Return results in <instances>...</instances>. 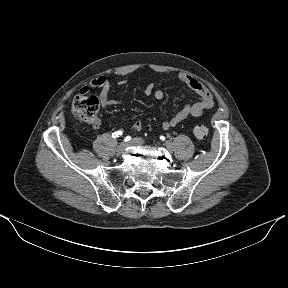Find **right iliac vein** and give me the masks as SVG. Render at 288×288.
<instances>
[{
  "label": "right iliac vein",
  "instance_id": "1",
  "mask_svg": "<svg viewBox=\"0 0 288 288\" xmlns=\"http://www.w3.org/2000/svg\"><path fill=\"white\" fill-rule=\"evenodd\" d=\"M127 146H128V143L122 142L117 148V153L122 154L125 151Z\"/></svg>",
  "mask_w": 288,
  "mask_h": 288
}]
</instances>
